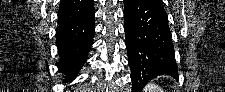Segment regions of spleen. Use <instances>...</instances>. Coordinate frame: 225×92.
Here are the masks:
<instances>
[{"mask_svg":"<svg viewBox=\"0 0 225 92\" xmlns=\"http://www.w3.org/2000/svg\"><path fill=\"white\" fill-rule=\"evenodd\" d=\"M144 92H164L163 89L154 83H148L143 89Z\"/></svg>","mask_w":225,"mask_h":92,"instance_id":"1","label":"spleen"}]
</instances>
